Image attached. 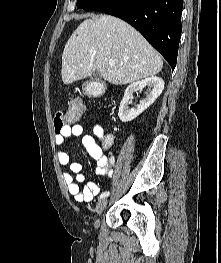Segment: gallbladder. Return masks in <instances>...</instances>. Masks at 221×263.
Returning <instances> with one entry per match:
<instances>
[{
    "instance_id": "1",
    "label": "gallbladder",
    "mask_w": 221,
    "mask_h": 263,
    "mask_svg": "<svg viewBox=\"0 0 221 263\" xmlns=\"http://www.w3.org/2000/svg\"><path fill=\"white\" fill-rule=\"evenodd\" d=\"M92 82H99L101 80V74L98 70L94 71L90 76Z\"/></svg>"
}]
</instances>
